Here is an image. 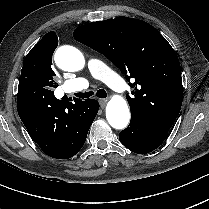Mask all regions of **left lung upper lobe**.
I'll return each instance as SVG.
<instances>
[{
	"mask_svg": "<svg viewBox=\"0 0 209 209\" xmlns=\"http://www.w3.org/2000/svg\"><path fill=\"white\" fill-rule=\"evenodd\" d=\"M74 38L104 54L121 70L133 95L126 96L131 114L169 130L179 115L183 87L178 57L150 24L117 17L78 27ZM133 78L134 83H130Z\"/></svg>",
	"mask_w": 209,
	"mask_h": 209,
	"instance_id": "left-lung-upper-lobe-1",
	"label": "left lung upper lobe"
}]
</instances>
